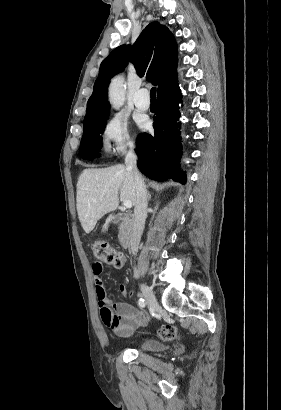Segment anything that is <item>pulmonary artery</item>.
I'll return each mask as SVG.
<instances>
[{
    "instance_id": "obj_1",
    "label": "pulmonary artery",
    "mask_w": 281,
    "mask_h": 410,
    "mask_svg": "<svg viewBox=\"0 0 281 410\" xmlns=\"http://www.w3.org/2000/svg\"><path fill=\"white\" fill-rule=\"evenodd\" d=\"M134 103L139 110L145 111L150 107V99L148 98V90L146 88H141L136 92Z\"/></svg>"
}]
</instances>
